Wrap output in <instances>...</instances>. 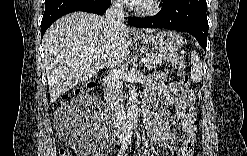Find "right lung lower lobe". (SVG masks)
Instances as JSON below:
<instances>
[{"mask_svg":"<svg viewBox=\"0 0 247 156\" xmlns=\"http://www.w3.org/2000/svg\"><path fill=\"white\" fill-rule=\"evenodd\" d=\"M111 4V0H46L45 12L41 22V36L58 18L74 11H84L102 15Z\"/></svg>","mask_w":247,"mask_h":156,"instance_id":"right-lung-lower-lobe-1","label":"right lung lower lobe"}]
</instances>
